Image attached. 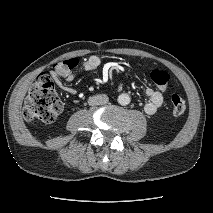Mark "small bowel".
<instances>
[{"mask_svg": "<svg viewBox=\"0 0 213 213\" xmlns=\"http://www.w3.org/2000/svg\"><path fill=\"white\" fill-rule=\"evenodd\" d=\"M75 68H77L78 72L94 71L99 68H102L104 72H108L111 69V65L104 64L100 57L92 55L83 60L81 63H78ZM74 76V72H68L65 76H63V81H59V86L69 94H76V90L73 87L66 85L65 82L72 81ZM145 95L147 96L148 101L144 105V111L147 115H154L163 104V95L161 92L151 87H147L145 89Z\"/></svg>", "mask_w": 213, "mask_h": 213, "instance_id": "1", "label": "small bowel"}]
</instances>
